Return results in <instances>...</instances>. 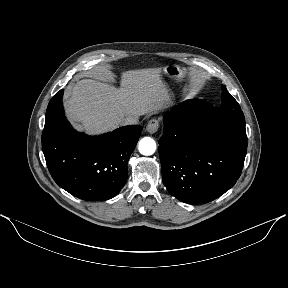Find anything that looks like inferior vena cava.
Wrapping results in <instances>:
<instances>
[{
    "instance_id": "1",
    "label": "inferior vena cava",
    "mask_w": 288,
    "mask_h": 288,
    "mask_svg": "<svg viewBox=\"0 0 288 288\" xmlns=\"http://www.w3.org/2000/svg\"><path fill=\"white\" fill-rule=\"evenodd\" d=\"M139 122L138 117L129 116L123 120L124 125H134Z\"/></svg>"
}]
</instances>
